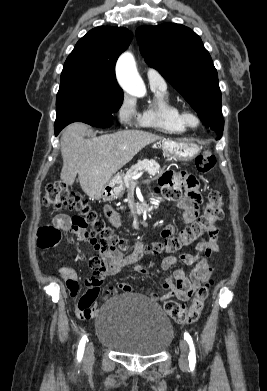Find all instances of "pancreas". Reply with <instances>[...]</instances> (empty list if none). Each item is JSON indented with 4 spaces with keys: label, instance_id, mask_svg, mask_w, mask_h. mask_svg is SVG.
<instances>
[{
    "label": "pancreas",
    "instance_id": "cf45deb5",
    "mask_svg": "<svg viewBox=\"0 0 267 391\" xmlns=\"http://www.w3.org/2000/svg\"><path fill=\"white\" fill-rule=\"evenodd\" d=\"M142 170L146 171L150 176H155L160 171V165L155 160L144 159L138 161L124 175L123 182L125 187L129 188L133 186L135 184L133 177Z\"/></svg>",
    "mask_w": 267,
    "mask_h": 391
}]
</instances>
